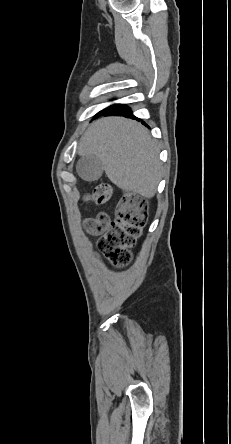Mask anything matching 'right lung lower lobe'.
Listing matches in <instances>:
<instances>
[{
	"label": "right lung lower lobe",
	"mask_w": 231,
	"mask_h": 444,
	"mask_svg": "<svg viewBox=\"0 0 231 444\" xmlns=\"http://www.w3.org/2000/svg\"><path fill=\"white\" fill-rule=\"evenodd\" d=\"M100 115H118V116H126V117L135 118L132 115L131 110L129 109L128 106L120 105V104L112 106L111 108L107 109L106 111H104Z\"/></svg>",
	"instance_id": "1"
}]
</instances>
